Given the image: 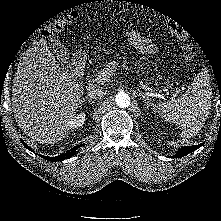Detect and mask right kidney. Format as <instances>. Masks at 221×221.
Instances as JSON below:
<instances>
[{"instance_id": "1", "label": "right kidney", "mask_w": 221, "mask_h": 221, "mask_svg": "<svg viewBox=\"0 0 221 221\" xmlns=\"http://www.w3.org/2000/svg\"><path fill=\"white\" fill-rule=\"evenodd\" d=\"M86 120V114L84 112H81L77 114V116L72 117L68 122L67 126L70 129L79 128L84 124V121Z\"/></svg>"}]
</instances>
